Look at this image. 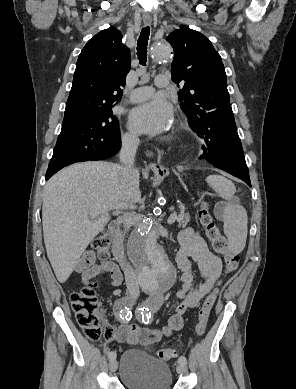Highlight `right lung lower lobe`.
Returning <instances> with one entry per match:
<instances>
[{
  "instance_id": "1",
  "label": "right lung lower lobe",
  "mask_w": 296,
  "mask_h": 389,
  "mask_svg": "<svg viewBox=\"0 0 296 389\" xmlns=\"http://www.w3.org/2000/svg\"><path fill=\"white\" fill-rule=\"evenodd\" d=\"M120 147H121V145L116 150H114L112 152H107L106 154H104V157H105L104 159L109 158V157L115 155L119 151ZM94 160H103V159H97L96 158ZM60 169H61L60 167L59 168H50V167H48V170L46 172V180L49 179L54 173H56Z\"/></svg>"
}]
</instances>
